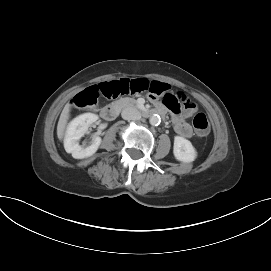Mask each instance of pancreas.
Segmentation results:
<instances>
[{
  "mask_svg": "<svg viewBox=\"0 0 271 271\" xmlns=\"http://www.w3.org/2000/svg\"><path fill=\"white\" fill-rule=\"evenodd\" d=\"M117 103L121 104L123 107H126L129 105H134L136 101L134 99L123 98L118 100Z\"/></svg>",
  "mask_w": 271,
  "mask_h": 271,
  "instance_id": "1",
  "label": "pancreas"
}]
</instances>
